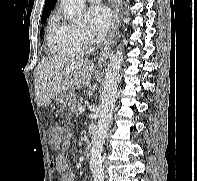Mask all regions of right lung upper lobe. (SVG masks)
Listing matches in <instances>:
<instances>
[{"label":"right lung upper lobe","mask_w":197,"mask_h":181,"mask_svg":"<svg viewBox=\"0 0 197 181\" xmlns=\"http://www.w3.org/2000/svg\"><path fill=\"white\" fill-rule=\"evenodd\" d=\"M56 1L57 0H46L45 1V6L43 8L42 16L43 15H47V14L50 15L51 10H53V8H54V6L56 4Z\"/></svg>","instance_id":"1"}]
</instances>
